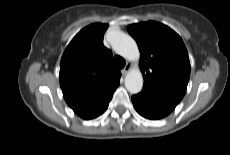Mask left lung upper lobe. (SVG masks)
I'll use <instances>...</instances> for the list:
<instances>
[{
    "mask_svg": "<svg viewBox=\"0 0 230 155\" xmlns=\"http://www.w3.org/2000/svg\"><path fill=\"white\" fill-rule=\"evenodd\" d=\"M136 40L144 77L142 91L178 105L190 77V62L181 37L168 26L155 21L127 27Z\"/></svg>",
    "mask_w": 230,
    "mask_h": 155,
    "instance_id": "1",
    "label": "left lung upper lobe"
}]
</instances>
